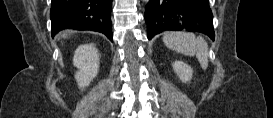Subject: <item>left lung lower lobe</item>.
I'll return each instance as SVG.
<instances>
[{"label":"left lung lower lobe","instance_id":"0a47b994","mask_svg":"<svg viewBox=\"0 0 273 118\" xmlns=\"http://www.w3.org/2000/svg\"><path fill=\"white\" fill-rule=\"evenodd\" d=\"M144 17L149 40L164 30L182 29L215 37L209 0H150Z\"/></svg>","mask_w":273,"mask_h":118}]
</instances>
